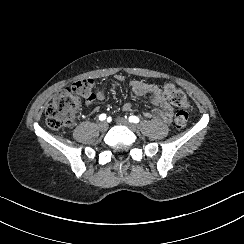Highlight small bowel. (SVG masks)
<instances>
[{
	"instance_id": "small-bowel-1",
	"label": "small bowel",
	"mask_w": 244,
	"mask_h": 244,
	"mask_svg": "<svg viewBox=\"0 0 244 244\" xmlns=\"http://www.w3.org/2000/svg\"><path fill=\"white\" fill-rule=\"evenodd\" d=\"M115 78L118 82L125 81V77L122 74L116 75ZM129 85L134 95L148 96L150 103L154 106L152 110L143 112V115L146 118L162 121L164 123L171 122L174 115V109L166 101L165 97L162 94V90L159 86L144 82L142 80H132L130 81ZM93 98L99 101L105 100L106 99L105 89L102 86L96 88L94 92V96L88 99L86 102L87 108L92 107ZM123 110L125 112H133L134 107L131 104H126L124 105Z\"/></svg>"
}]
</instances>
